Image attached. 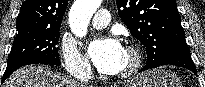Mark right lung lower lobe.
Segmentation results:
<instances>
[{
  "label": "right lung lower lobe",
  "mask_w": 205,
  "mask_h": 87,
  "mask_svg": "<svg viewBox=\"0 0 205 87\" xmlns=\"http://www.w3.org/2000/svg\"><path fill=\"white\" fill-rule=\"evenodd\" d=\"M37 63H41V64H45V65H49L46 62L43 61H39V60H35V59H29V58H17V59H10L8 60V64H7V68L5 70V73L3 75L2 78V83L5 81L6 78H8L16 69L25 66V65H29V64H37Z\"/></svg>",
  "instance_id": "right-lung-lower-lobe-1"
}]
</instances>
